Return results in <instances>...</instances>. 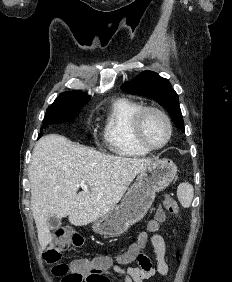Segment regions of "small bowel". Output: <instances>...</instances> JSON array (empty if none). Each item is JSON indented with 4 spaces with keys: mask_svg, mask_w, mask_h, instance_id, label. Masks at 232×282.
<instances>
[{
    "mask_svg": "<svg viewBox=\"0 0 232 282\" xmlns=\"http://www.w3.org/2000/svg\"><path fill=\"white\" fill-rule=\"evenodd\" d=\"M151 243L155 254L156 265L153 266L150 259L146 255H141L138 260V266H128L116 263L109 265L113 273L116 275L114 279L107 275L97 277L90 282H144L145 280L152 279L156 275L167 277L169 268L165 261L166 245L163 237L160 234H153Z\"/></svg>",
    "mask_w": 232,
    "mask_h": 282,
    "instance_id": "obj_1",
    "label": "small bowel"
}]
</instances>
